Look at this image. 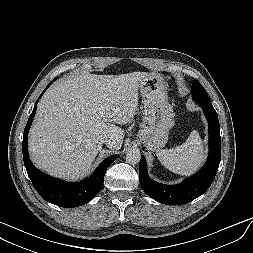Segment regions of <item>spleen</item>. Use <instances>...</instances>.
Masks as SVG:
<instances>
[{"label": "spleen", "mask_w": 253, "mask_h": 253, "mask_svg": "<svg viewBox=\"0 0 253 253\" xmlns=\"http://www.w3.org/2000/svg\"><path fill=\"white\" fill-rule=\"evenodd\" d=\"M161 164L175 174L191 175L204 161V149L199 133L194 130L181 146L157 151Z\"/></svg>", "instance_id": "3e777b00"}]
</instances>
